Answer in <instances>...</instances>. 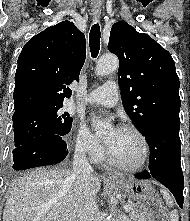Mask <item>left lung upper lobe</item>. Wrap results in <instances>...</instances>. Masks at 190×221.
<instances>
[{"instance_id":"obj_1","label":"left lung upper lobe","mask_w":190,"mask_h":221,"mask_svg":"<svg viewBox=\"0 0 190 221\" xmlns=\"http://www.w3.org/2000/svg\"><path fill=\"white\" fill-rule=\"evenodd\" d=\"M108 49L119 58L123 106L142 135L158 124L180 125L179 78L171 54L124 21L112 26Z\"/></svg>"}]
</instances>
